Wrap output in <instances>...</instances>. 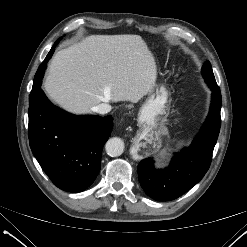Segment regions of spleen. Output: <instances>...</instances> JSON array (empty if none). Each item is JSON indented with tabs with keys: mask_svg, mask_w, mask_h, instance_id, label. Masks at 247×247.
Returning <instances> with one entry per match:
<instances>
[{
	"mask_svg": "<svg viewBox=\"0 0 247 247\" xmlns=\"http://www.w3.org/2000/svg\"><path fill=\"white\" fill-rule=\"evenodd\" d=\"M183 145V141H181L180 143H179V147H181Z\"/></svg>",
	"mask_w": 247,
	"mask_h": 247,
	"instance_id": "1",
	"label": "spleen"
}]
</instances>
